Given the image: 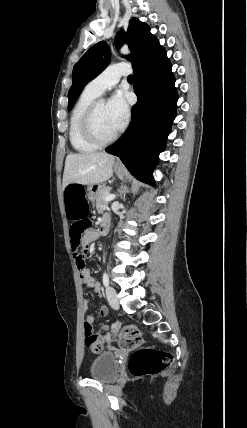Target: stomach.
<instances>
[{"label":"stomach","instance_id":"0dacf381","mask_svg":"<svg viewBox=\"0 0 247 428\" xmlns=\"http://www.w3.org/2000/svg\"><path fill=\"white\" fill-rule=\"evenodd\" d=\"M115 173L117 174V176L119 178H124L126 171L123 167L120 166H115ZM101 185L100 184H92V185H88L87 187V197L90 201L94 202L96 197H97V193L98 190L100 189Z\"/></svg>","mask_w":247,"mask_h":428}]
</instances>
